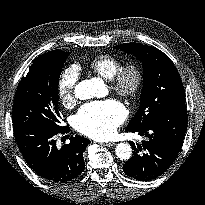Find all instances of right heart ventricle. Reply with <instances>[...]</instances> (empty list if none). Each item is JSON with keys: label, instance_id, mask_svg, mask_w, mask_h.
<instances>
[{"label": "right heart ventricle", "instance_id": "e07e8e85", "mask_svg": "<svg viewBox=\"0 0 205 205\" xmlns=\"http://www.w3.org/2000/svg\"><path fill=\"white\" fill-rule=\"evenodd\" d=\"M123 65V61L113 55H98L88 64V68L106 80H111Z\"/></svg>", "mask_w": 205, "mask_h": 205}]
</instances>
